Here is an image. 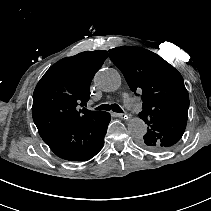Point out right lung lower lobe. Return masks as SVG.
Wrapping results in <instances>:
<instances>
[{
    "label": "right lung lower lobe",
    "instance_id": "98d812e1",
    "mask_svg": "<svg viewBox=\"0 0 211 211\" xmlns=\"http://www.w3.org/2000/svg\"><path fill=\"white\" fill-rule=\"evenodd\" d=\"M110 114L99 112L76 125H69L42 137L60 158L86 161L94 157L104 145Z\"/></svg>",
    "mask_w": 211,
    "mask_h": 211
}]
</instances>
